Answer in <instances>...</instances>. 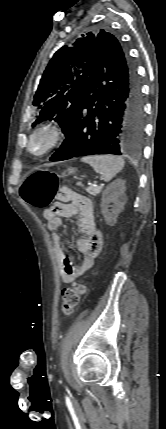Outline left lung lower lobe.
I'll list each match as a JSON object with an SVG mask.
<instances>
[{
  "label": "left lung lower lobe",
  "instance_id": "obj_1",
  "mask_svg": "<svg viewBox=\"0 0 166 429\" xmlns=\"http://www.w3.org/2000/svg\"><path fill=\"white\" fill-rule=\"evenodd\" d=\"M143 130V98L135 67L114 35L100 33L66 139L49 160L137 154Z\"/></svg>",
  "mask_w": 166,
  "mask_h": 429
}]
</instances>
